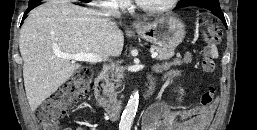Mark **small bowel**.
<instances>
[{
    "label": "small bowel",
    "mask_w": 257,
    "mask_h": 130,
    "mask_svg": "<svg viewBox=\"0 0 257 130\" xmlns=\"http://www.w3.org/2000/svg\"><path fill=\"white\" fill-rule=\"evenodd\" d=\"M186 56L184 61H189ZM180 60L172 64H164L162 68L166 71V78L176 77L179 72L172 69L173 65L180 64ZM215 106L192 107L185 111H176L168 103H155L148 108L144 114L141 130H205L211 122ZM76 130H86L78 127Z\"/></svg>",
    "instance_id": "c3829d8e"
}]
</instances>
